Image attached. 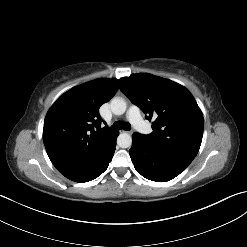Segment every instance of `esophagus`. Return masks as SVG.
<instances>
[{
	"label": "esophagus",
	"mask_w": 247,
	"mask_h": 247,
	"mask_svg": "<svg viewBox=\"0 0 247 247\" xmlns=\"http://www.w3.org/2000/svg\"><path fill=\"white\" fill-rule=\"evenodd\" d=\"M123 133H129L131 134L132 132L131 131H122Z\"/></svg>",
	"instance_id": "esophagus-1"
}]
</instances>
